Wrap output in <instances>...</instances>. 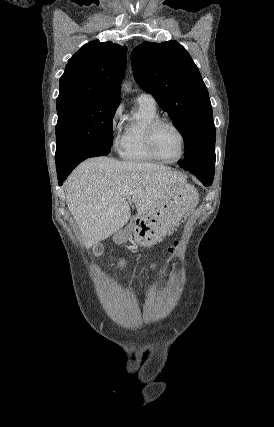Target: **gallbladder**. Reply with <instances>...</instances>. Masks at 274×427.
Wrapping results in <instances>:
<instances>
[{"label":"gallbladder","instance_id":"bac80fb5","mask_svg":"<svg viewBox=\"0 0 274 427\" xmlns=\"http://www.w3.org/2000/svg\"><path fill=\"white\" fill-rule=\"evenodd\" d=\"M104 251V245L102 243H96V245H93V253L94 255H102Z\"/></svg>","mask_w":274,"mask_h":427}]
</instances>
